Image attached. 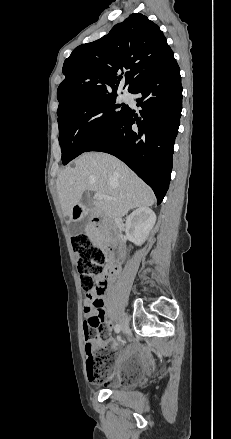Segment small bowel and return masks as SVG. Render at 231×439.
<instances>
[{
  "instance_id": "1",
  "label": "small bowel",
  "mask_w": 231,
  "mask_h": 439,
  "mask_svg": "<svg viewBox=\"0 0 231 439\" xmlns=\"http://www.w3.org/2000/svg\"><path fill=\"white\" fill-rule=\"evenodd\" d=\"M113 271H117L116 269ZM98 301L101 303V308H95L94 302ZM84 330L90 325L92 321L95 322V324L99 327L103 325V322L105 320V291L103 293L97 294L95 292H90L86 294V305L84 309ZM98 346H101V343L98 344ZM133 352L132 348H127L123 355L121 356L120 360L117 363L118 367L123 368L124 363L130 358L131 354Z\"/></svg>"
}]
</instances>
